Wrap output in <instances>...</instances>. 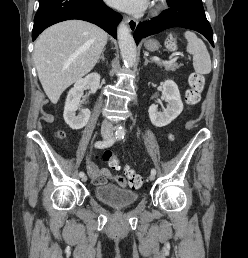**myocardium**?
I'll use <instances>...</instances> for the list:
<instances>
[{
  "label": "myocardium",
  "mask_w": 248,
  "mask_h": 258,
  "mask_svg": "<svg viewBox=\"0 0 248 258\" xmlns=\"http://www.w3.org/2000/svg\"><path fill=\"white\" fill-rule=\"evenodd\" d=\"M158 1H163V0H158ZM161 5L159 4V5H157V7H160Z\"/></svg>",
  "instance_id": "obj_1"
}]
</instances>
